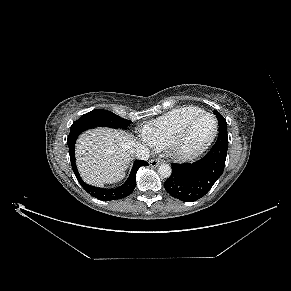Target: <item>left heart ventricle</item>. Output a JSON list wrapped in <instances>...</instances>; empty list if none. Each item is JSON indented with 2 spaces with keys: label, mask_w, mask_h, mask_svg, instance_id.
Instances as JSON below:
<instances>
[{
  "label": "left heart ventricle",
  "mask_w": 291,
  "mask_h": 291,
  "mask_svg": "<svg viewBox=\"0 0 291 291\" xmlns=\"http://www.w3.org/2000/svg\"><path fill=\"white\" fill-rule=\"evenodd\" d=\"M214 120L209 116L199 119L191 128L184 147L193 150L203 145L212 135L214 130Z\"/></svg>",
  "instance_id": "left-heart-ventricle-1"
}]
</instances>
